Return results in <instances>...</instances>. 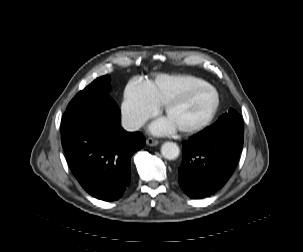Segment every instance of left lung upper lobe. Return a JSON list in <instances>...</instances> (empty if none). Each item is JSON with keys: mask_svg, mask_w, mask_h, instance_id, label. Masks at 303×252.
I'll use <instances>...</instances> for the list:
<instances>
[{"mask_svg": "<svg viewBox=\"0 0 303 252\" xmlns=\"http://www.w3.org/2000/svg\"><path fill=\"white\" fill-rule=\"evenodd\" d=\"M206 133H244L243 121L240 114L234 109L219 117L217 122L203 130Z\"/></svg>", "mask_w": 303, "mask_h": 252, "instance_id": "5c2ea615", "label": "left lung upper lobe"}]
</instances>
